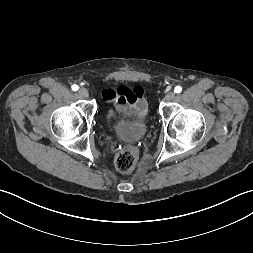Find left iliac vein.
<instances>
[{"mask_svg": "<svg viewBox=\"0 0 253 253\" xmlns=\"http://www.w3.org/2000/svg\"><path fill=\"white\" fill-rule=\"evenodd\" d=\"M174 97H175L174 92L170 91V92H168V93L165 95V100H166V101H171V100L174 99Z\"/></svg>", "mask_w": 253, "mask_h": 253, "instance_id": "1", "label": "left iliac vein"}]
</instances>
